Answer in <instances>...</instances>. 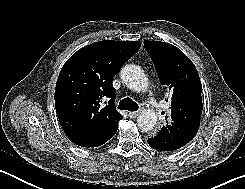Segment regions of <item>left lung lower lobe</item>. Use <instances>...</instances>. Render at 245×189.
Returning <instances> with one entry per match:
<instances>
[{"label": "left lung lower lobe", "instance_id": "0a47b994", "mask_svg": "<svg viewBox=\"0 0 245 189\" xmlns=\"http://www.w3.org/2000/svg\"><path fill=\"white\" fill-rule=\"evenodd\" d=\"M148 144L151 148L157 151H173V148L163 141L159 140L156 136H152L148 139Z\"/></svg>", "mask_w": 245, "mask_h": 189}]
</instances>
